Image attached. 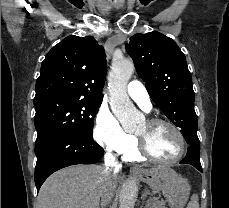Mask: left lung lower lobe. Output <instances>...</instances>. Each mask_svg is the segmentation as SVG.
<instances>
[{
  "mask_svg": "<svg viewBox=\"0 0 229 208\" xmlns=\"http://www.w3.org/2000/svg\"><path fill=\"white\" fill-rule=\"evenodd\" d=\"M186 142L190 145L187 150V155L180 164H190L202 172V167L200 163V143L197 136V130H191L182 133Z\"/></svg>",
  "mask_w": 229,
  "mask_h": 208,
  "instance_id": "0a47b994",
  "label": "left lung lower lobe"
}]
</instances>
